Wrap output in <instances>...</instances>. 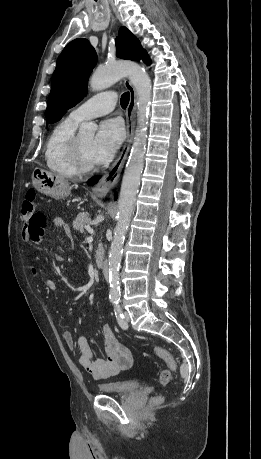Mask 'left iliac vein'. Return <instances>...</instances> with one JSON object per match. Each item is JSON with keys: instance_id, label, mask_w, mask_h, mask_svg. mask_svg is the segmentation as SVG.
<instances>
[{"instance_id": "left-iliac-vein-1", "label": "left iliac vein", "mask_w": 261, "mask_h": 459, "mask_svg": "<svg viewBox=\"0 0 261 459\" xmlns=\"http://www.w3.org/2000/svg\"><path fill=\"white\" fill-rule=\"evenodd\" d=\"M124 319H125L126 323H128L130 321V316H129L128 312L124 313Z\"/></svg>"}]
</instances>
